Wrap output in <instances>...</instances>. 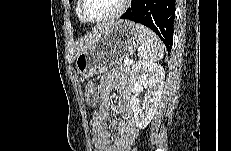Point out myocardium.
<instances>
[{"label": "myocardium", "instance_id": "myocardium-1", "mask_svg": "<svg viewBox=\"0 0 231 151\" xmlns=\"http://www.w3.org/2000/svg\"><path fill=\"white\" fill-rule=\"evenodd\" d=\"M129 2H130L129 0H122V4H121L120 8L115 13L108 15V16H105V17L100 18V19L92 20V19L87 18L84 15L85 0H80L78 12H79L80 18L84 22L89 23V24H102V23L113 21V20L119 18L120 16H122L124 14V12L126 11Z\"/></svg>", "mask_w": 231, "mask_h": 151}]
</instances>
